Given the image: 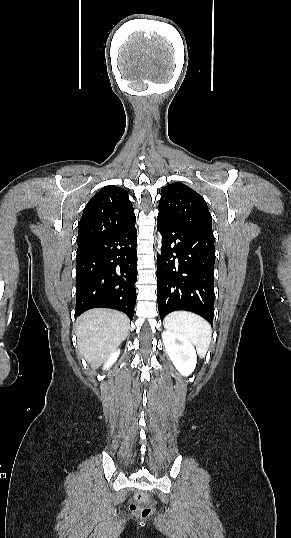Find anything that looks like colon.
Segmentation results:
<instances>
[{"mask_svg": "<svg viewBox=\"0 0 291 538\" xmlns=\"http://www.w3.org/2000/svg\"><path fill=\"white\" fill-rule=\"evenodd\" d=\"M146 500L144 495L137 493L133 496L130 505L131 512L142 519L150 517L153 513L152 507L146 504Z\"/></svg>", "mask_w": 291, "mask_h": 538, "instance_id": "1", "label": "colon"}]
</instances>
